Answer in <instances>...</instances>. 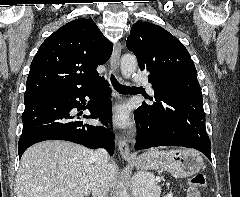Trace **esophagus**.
<instances>
[{"label":"esophagus","mask_w":240,"mask_h":197,"mask_svg":"<svg viewBox=\"0 0 240 197\" xmlns=\"http://www.w3.org/2000/svg\"><path fill=\"white\" fill-rule=\"evenodd\" d=\"M121 50H122L121 43L117 42L114 45L113 53L111 56V71L113 73L118 72ZM116 139L121 156L126 160L136 159V156L131 153L128 142L126 141L125 137L123 135H117Z\"/></svg>","instance_id":"34e87169"}]
</instances>
